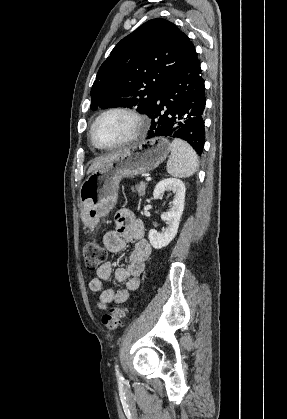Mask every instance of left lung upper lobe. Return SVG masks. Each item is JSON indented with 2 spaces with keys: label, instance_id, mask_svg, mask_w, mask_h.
<instances>
[{
  "label": "left lung upper lobe",
  "instance_id": "obj_1",
  "mask_svg": "<svg viewBox=\"0 0 287 419\" xmlns=\"http://www.w3.org/2000/svg\"><path fill=\"white\" fill-rule=\"evenodd\" d=\"M197 59L189 38L173 23L156 18L123 38L99 68L91 106H137L148 114L161 87Z\"/></svg>",
  "mask_w": 287,
  "mask_h": 419
}]
</instances>
